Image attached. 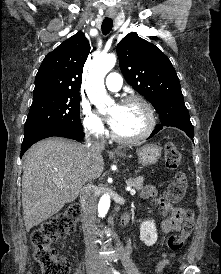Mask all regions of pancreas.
I'll return each mask as SVG.
<instances>
[{"label":"pancreas","instance_id":"cf45deb5","mask_svg":"<svg viewBox=\"0 0 221 274\" xmlns=\"http://www.w3.org/2000/svg\"><path fill=\"white\" fill-rule=\"evenodd\" d=\"M143 177L130 178L126 181L128 186L133 187L137 191H140L143 188Z\"/></svg>","mask_w":221,"mask_h":274}]
</instances>
